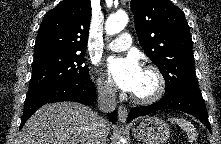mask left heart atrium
I'll list each match as a JSON object with an SVG mask.
<instances>
[{
    "mask_svg": "<svg viewBox=\"0 0 221 144\" xmlns=\"http://www.w3.org/2000/svg\"><path fill=\"white\" fill-rule=\"evenodd\" d=\"M142 72L134 56L110 58L108 61L109 75L120 89L127 92H134L137 89Z\"/></svg>",
    "mask_w": 221,
    "mask_h": 144,
    "instance_id": "obj_1",
    "label": "left heart atrium"
}]
</instances>
